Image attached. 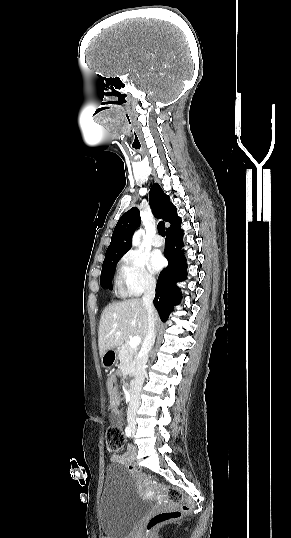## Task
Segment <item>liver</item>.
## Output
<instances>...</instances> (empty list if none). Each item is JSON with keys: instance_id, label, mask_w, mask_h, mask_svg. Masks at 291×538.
I'll list each match as a JSON object with an SVG mask.
<instances>
[{"instance_id": "6515ba94", "label": "liver", "mask_w": 291, "mask_h": 538, "mask_svg": "<svg viewBox=\"0 0 291 538\" xmlns=\"http://www.w3.org/2000/svg\"><path fill=\"white\" fill-rule=\"evenodd\" d=\"M147 331L148 313L142 299L133 298L109 304L103 310L99 323L100 356L102 357L105 351L123 344L129 336H140L141 340H144Z\"/></svg>"}]
</instances>
